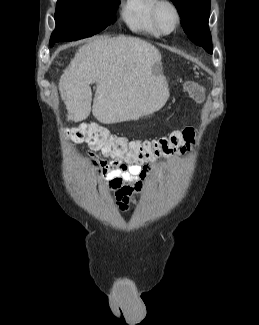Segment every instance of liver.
<instances>
[{
  "label": "liver",
  "instance_id": "liver-1",
  "mask_svg": "<svg viewBox=\"0 0 259 325\" xmlns=\"http://www.w3.org/2000/svg\"><path fill=\"white\" fill-rule=\"evenodd\" d=\"M161 53L133 37H97L75 53L59 81L68 120L80 122L91 112L103 124L136 121L161 109L169 91L156 64Z\"/></svg>",
  "mask_w": 259,
  "mask_h": 325
}]
</instances>
